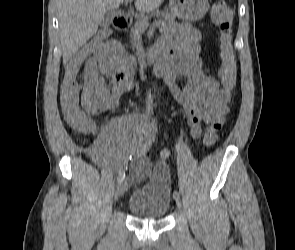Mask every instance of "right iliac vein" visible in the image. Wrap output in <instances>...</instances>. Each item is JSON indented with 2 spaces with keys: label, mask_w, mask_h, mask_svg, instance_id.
Here are the masks:
<instances>
[{
  "label": "right iliac vein",
  "mask_w": 295,
  "mask_h": 250,
  "mask_svg": "<svg viewBox=\"0 0 295 250\" xmlns=\"http://www.w3.org/2000/svg\"><path fill=\"white\" fill-rule=\"evenodd\" d=\"M127 188V182L126 181H122L119 183V185L116 188L115 191V196H114V201H118L122 195L124 194V192L126 191Z\"/></svg>",
  "instance_id": "right-iliac-vein-1"
}]
</instances>
